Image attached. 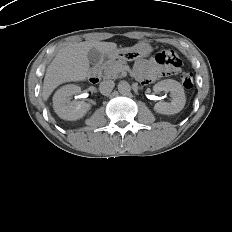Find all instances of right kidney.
<instances>
[{
	"mask_svg": "<svg viewBox=\"0 0 232 232\" xmlns=\"http://www.w3.org/2000/svg\"><path fill=\"white\" fill-rule=\"evenodd\" d=\"M81 87L68 84L58 89L53 96V108L56 114L68 121H75L90 110L91 105L82 101H70L69 96L79 94Z\"/></svg>",
	"mask_w": 232,
	"mask_h": 232,
	"instance_id": "1",
	"label": "right kidney"
}]
</instances>
